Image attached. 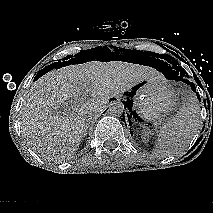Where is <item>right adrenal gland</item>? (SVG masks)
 <instances>
[{"instance_id": "right-adrenal-gland-1", "label": "right adrenal gland", "mask_w": 213, "mask_h": 213, "mask_svg": "<svg viewBox=\"0 0 213 213\" xmlns=\"http://www.w3.org/2000/svg\"><path fill=\"white\" fill-rule=\"evenodd\" d=\"M88 125H89V123H87V124H86V128H85V131H84V134H83V136H86V135H87V129H88Z\"/></svg>"}]
</instances>
